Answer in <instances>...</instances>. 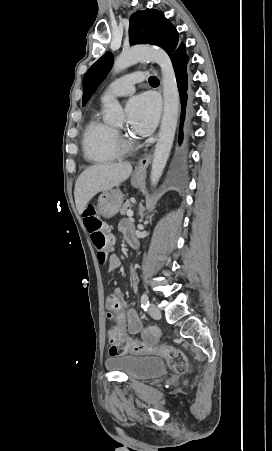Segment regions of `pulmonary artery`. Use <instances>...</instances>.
<instances>
[{
  "label": "pulmonary artery",
  "mask_w": 272,
  "mask_h": 451,
  "mask_svg": "<svg viewBox=\"0 0 272 451\" xmlns=\"http://www.w3.org/2000/svg\"><path fill=\"white\" fill-rule=\"evenodd\" d=\"M146 77L144 70L137 73L126 75L112 82L102 95L101 99L106 100L110 97L128 96L134 92V84L142 81Z\"/></svg>",
  "instance_id": "obj_1"
}]
</instances>
